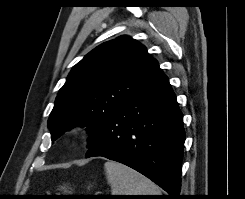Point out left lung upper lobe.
I'll list each match as a JSON object with an SVG mask.
<instances>
[{
	"mask_svg": "<svg viewBox=\"0 0 245 199\" xmlns=\"http://www.w3.org/2000/svg\"><path fill=\"white\" fill-rule=\"evenodd\" d=\"M159 69L146 48L127 36L93 49L73 67L59 90L48 119L52 141L81 125L87 126L92 147L109 116L137 95Z\"/></svg>",
	"mask_w": 245,
	"mask_h": 199,
	"instance_id": "1",
	"label": "left lung upper lobe"
}]
</instances>
